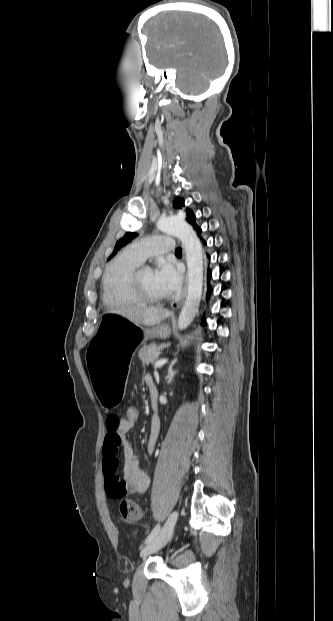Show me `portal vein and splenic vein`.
<instances>
[{
  "instance_id": "portal-vein-and-splenic-vein-1",
  "label": "portal vein and splenic vein",
  "mask_w": 333,
  "mask_h": 621,
  "mask_svg": "<svg viewBox=\"0 0 333 621\" xmlns=\"http://www.w3.org/2000/svg\"><path fill=\"white\" fill-rule=\"evenodd\" d=\"M167 362H168V359H166V358L159 359L158 361H156V362L154 363V368L161 367V366H163L164 364H166Z\"/></svg>"
}]
</instances>
